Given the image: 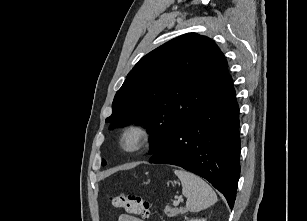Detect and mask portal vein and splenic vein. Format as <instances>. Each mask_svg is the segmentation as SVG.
<instances>
[{
    "label": "portal vein and splenic vein",
    "mask_w": 307,
    "mask_h": 221,
    "mask_svg": "<svg viewBox=\"0 0 307 221\" xmlns=\"http://www.w3.org/2000/svg\"><path fill=\"white\" fill-rule=\"evenodd\" d=\"M173 205H174V206H178V205H179V201H174V202H173Z\"/></svg>",
    "instance_id": "obj_1"
}]
</instances>
